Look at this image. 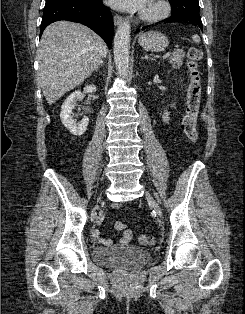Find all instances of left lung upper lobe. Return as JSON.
<instances>
[{"mask_svg":"<svg viewBox=\"0 0 245 314\" xmlns=\"http://www.w3.org/2000/svg\"><path fill=\"white\" fill-rule=\"evenodd\" d=\"M172 8V16L189 17L201 20L198 0H168Z\"/></svg>","mask_w":245,"mask_h":314,"instance_id":"obj_1","label":"left lung upper lobe"}]
</instances>
